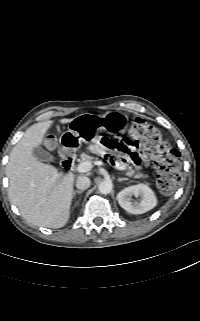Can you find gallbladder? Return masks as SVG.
<instances>
[{
    "label": "gallbladder",
    "instance_id": "bac80fb5",
    "mask_svg": "<svg viewBox=\"0 0 200 321\" xmlns=\"http://www.w3.org/2000/svg\"><path fill=\"white\" fill-rule=\"evenodd\" d=\"M33 156L39 160V161H43V162H50V161H54V157L47 152L46 150H44L42 147H36L33 149Z\"/></svg>",
    "mask_w": 200,
    "mask_h": 321
}]
</instances>
